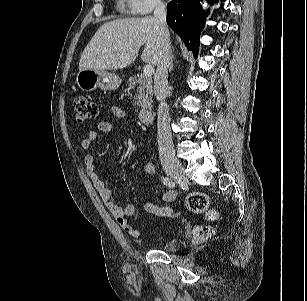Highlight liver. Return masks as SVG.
I'll return each mask as SVG.
<instances>
[{
	"mask_svg": "<svg viewBox=\"0 0 307 301\" xmlns=\"http://www.w3.org/2000/svg\"><path fill=\"white\" fill-rule=\"evenodd\" d=\"M160 32V24L154 16L107 22L81 54L79 70L124 68L135 61L142 46V61L157 65L161 52Z\"/></svg>",
	"mask_w": 307,
	"mask_h": 301,
	"instance_id": "1",
	"label": "liver"
}]
</instances>
